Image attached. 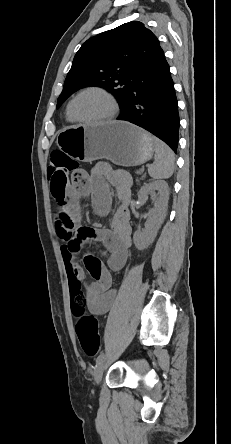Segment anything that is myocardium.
I'll return each instance as SVG.
<instances>
[{
    "instance_id": "myocardium-1",
    "label": "myocardium",
    "mask_w": 231,
    "mask_h": 444,
    "mask_svg": "<svg viewBox=\"0 0 231 444\" xmlns=\"http://www.w3.org/2000/svg\"><path fill=\"white\" fill-rule=\"evenodd\" d=\"M90 91L99 92L103 96L106 97V99L108 100L109 105H110V113L108 115L101 117L99 119H96V120H85V119H82L76 115V113L74 111L75 101L78 99L79 96H81L82 94H84L86 92H90ZM118 109H119L118 103H117L115 97L107 89L100 87V86H89V87L83 88L69 102V113H70L71 117L73 118V120L83 123V124H87V125L103 124V123L113 120L118 113Z\"/></svg>"
}]
</instances>
